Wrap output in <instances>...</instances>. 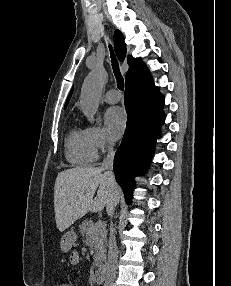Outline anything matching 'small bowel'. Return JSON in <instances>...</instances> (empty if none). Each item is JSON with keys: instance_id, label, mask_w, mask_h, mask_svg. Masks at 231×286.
<instances>
[{"instance_id": "obj_1", "label": "small bowel", "mask_w": 231, "mask_h": 286, "mask_svg": "<svg viewBox=\"0 0 231 286\" xmlns=\"http://www.w3.org/2000/svg\"><path fill=\"white\" fill-rule=\"evenodd\" d=\"M80 261V256L77 252H72L70 255V262L72 265H77Z\"/></svg>"}]
</instances>
